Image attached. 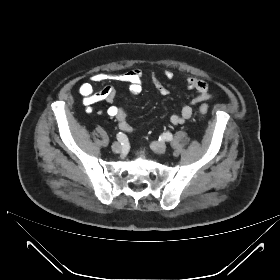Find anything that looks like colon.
Wrapping results in <instances>:
<instances>
[{"label": "colon", "mask_w": 280, "mask_h": 280, "mask_svg": "<svg viewBox=\"0 0 280 280\" xmlns=\"http://www.w3.org/2000/svg\"><path fill=\"white\" fill-rule=\"evenodd\" d=\"M199 112H200L201 114H206V113L208 112V107L205 106V105H201V106L199 107Z\"/></svg>", "instance_id": "1"}]
</instances>
